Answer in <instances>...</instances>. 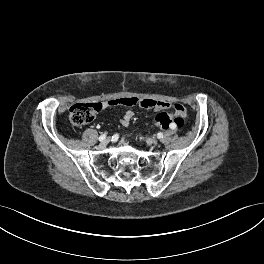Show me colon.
<instances>
[{"label":"colon","mask_w":264,"mask_h":264,"mask_svg":"<svg viewBox=\"0 0 264 264\" xmlns=\"http://www.w3.org/2000/svg\"><path fill=\"white\" fill-rule=\"evenodd\" d=\"M109 105L130 106L133 100L129 97L116 98L108 101ZM102 109L101 103H77L70 107L69 121L74 126H83L90 123L95 114ZM185 109L178 107L173 114L166 112L159 113L154 120V125L161 129H168L173 123L177 128H182L185 124Z\"/></svg>","instance_id":"colon-1"}]
</instances>
